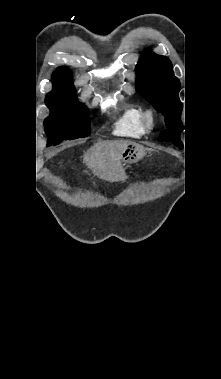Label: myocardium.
Segmentation results:
<instances>
[{"label": "myocardium", "instance_id": "obj_1", "mask_svg": "<svg viewBox=\"0 0 221 379\" xmlns=\"http://www.w3.org/2000/svg\"><path fill=\"white\" fill-rule=\"evenodd\" d=\"M143 123H144L145 129L147 131L153 129V127L155 125L154 114L152 112H150V111L145 112L144 113V117H143Z\"/></svg>", "mask_w": 221, "mask_h": 379}]
</instances>
